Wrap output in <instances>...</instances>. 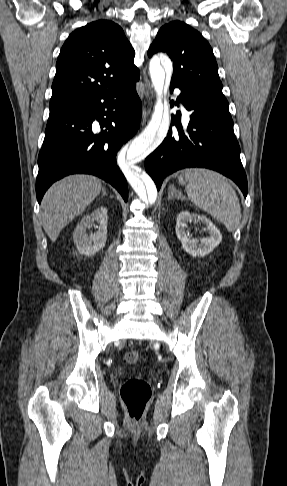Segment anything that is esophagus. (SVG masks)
Returning a JSON list of instances; mask_svg holds the SVG:
<instances>
[{
	"instance_id": "34e87169",
	"label": "esophagus",
	"mask_w": 287,
	"mask_h": 486,
	"mask_svg": "<svg viewBox=\"0 0 287 486\" xmlns=\"http://www.w3.org/2000/svg\"><path fill=\"white\" fill-rule=\"evenodd\" d=\"M146 87H147V89H148V90H150V92L152 93V90H151V89H152V87H151V85H150L149 81H146ZM147 116H148V111H147V109H146V108H144V110H143V115H142V123H143V124L145 123Z\"/></svg>"
}]
</instances>
